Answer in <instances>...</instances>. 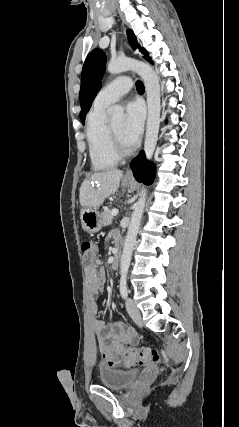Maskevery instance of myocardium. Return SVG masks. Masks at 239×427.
<instances>
[{"mask_svg": "<svg viewBox=\"0 0 239 427\" xmlns=\"http://www.w3.org/2000/svg\"><path fill=\"white\" fill-rule=\"evenodd\" d=\"M109 133H110V141H111L112 149L118 158L127 157L133 152V148L125 147L121 143L118 136L116 135L113 128L111 127V125H109Z\"/></svg>", "mask_w": 239, "mask_h": 427, "instance_id": "obj_1", "label": "myocardium"}]
</instances>
